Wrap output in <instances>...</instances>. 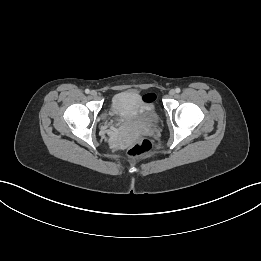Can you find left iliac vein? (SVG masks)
Returning a JSON list of instances; mask_svg holds the SVG:
<instances>
[{
  "instance_id": "1",
  "label": "left iliac vein",
  "mask_w": 261,
  "mask_h": 261,
  "mask_svg": "<svg viewBox=\"0 0 261 261\" xmlns=\"http://www.w3.org/2000/svg\"><path fill=\"white\" fill-rule=\"evenodd\" d=\"M175 93H176V91H175L174 89H171V90L169 91V95H170V96H174Z\"/></svg>"
}]
</instances>
